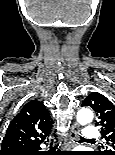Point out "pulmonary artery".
I'll use <instances>...</instances> for the list:
<instances>
[{"mask_svg":"<svg viewBox=\"0 0 115 155\" xmlns=\"http://www.w3.org/2000/svg\"><path fill=\"white\" fill-rule=\"evenodd\" d=\"M99 135H100V132L96 127L88 126V127L84 128V130H83V137L86 140H94L97 137H99Z\"/></svg>","mask_w":115,"mask_h":155,"instance_id":"e3ab8cb5","label":"pulmonary artery"}]
</instances>
